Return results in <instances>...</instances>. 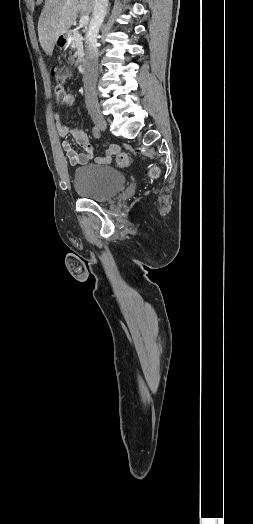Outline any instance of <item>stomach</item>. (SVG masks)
Here are the masks:
<instances>
[{
  "mask_svg": "<svg viewBox=\"0 0 253 524\" xmlns=\"http://www.w3.org/2000/svg\"><path fill=\"white\" fill-rule=\"evenodd\" d=\"M55 44L58 45L59 47H66L69 44V35L68 34L60 35L57 38Z\"/></svg>",
  "mask_w": 253,
  "mask_h": 524,
  "instance_id": "0dacf381",
  "label": "stomach"
}]
</instances>
